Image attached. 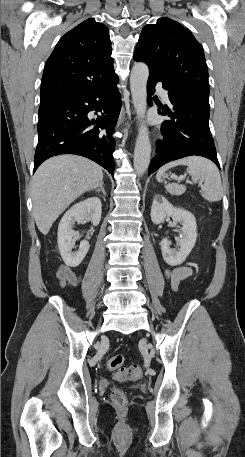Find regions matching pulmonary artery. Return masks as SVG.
<instances>
[{
  "label": "pulmonary artery",
  "instance_id": "obj_1",
  "mask_svg": "<svg viewBox=\"0 0 245 457\" xmlns=\"http://www.w3.org/2000/svg\"><path fill=\"white\" fill-rule=\"evenodd\" d=\"M152 90H160L158 99L160 102H169L171 99L169 89H161L162 83L161 81H152L151 83Z\"/></svg>",
  "mask_w": 245,
  "mask_h": 457
}]
</instances>
